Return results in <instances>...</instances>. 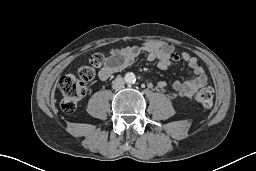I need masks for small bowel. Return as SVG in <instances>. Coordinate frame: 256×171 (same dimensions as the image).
<instances>
[{
	"mask_svg": "<svg viewBox=\"0 0 256 171\" xmlns=\"http://www.w3.org/2000/svg\"><path fill=\"white\" fill-rule=\"evenodd\" d=\"M139 54H144L148 62L157 61L161 69L168 68L173 62L182 60L191 70V76L186 80H176L172 84V91L167 90V83H156V90L163 92L169 99L192 96L193 93L208 82V76L198 62V59L184 51L178 55L172 44L159 40H151L140 45L117 48L110 51L102 64L98 77L107 80L114 73L121 71L135 61ZM148 86H153L150 80Z\"/></svg>",
	"mask_w": 256,
	"mask_h": 171,
	"instance_id": "1",
	"label": "small bowel"
}]
</instances>
